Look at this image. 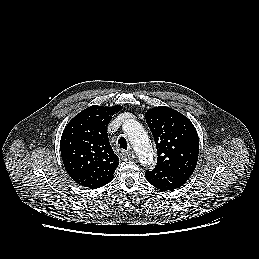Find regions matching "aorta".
Instances as JSON below:
<instances>
[{
	"label": "aorta",
	"instance_id": "1",
	"mask_svg": "<svg viewBox=\"0 0 259 259\" xmlns=\"http://www.w3.org/2000/svg\"><path fill=\"white\" fill-rule=\"evenodd\" d=\"M123 129L134 147L141 165L150 166L153 162V149L143 126L138 121L129 119L124 122Z\"/></svg>",
	"mask_w": 259,
	"mask_h": 259
}]
</instances>
